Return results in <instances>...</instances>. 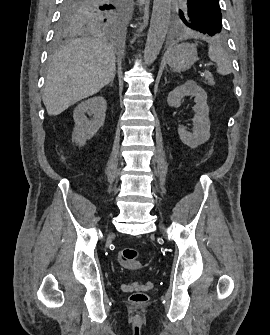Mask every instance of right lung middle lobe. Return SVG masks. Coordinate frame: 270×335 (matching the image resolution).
I'll list each match as a JSON object with an SVG mask.
<instances>
[{
	"instance_id": "1",
	"label": "right lung middle lobe",
	"mask_w": 270,
	"mask_h": 335,
	"mask_svg": "<svg viewBox=\"0 0 270 335\" xmlns=\"http://www.w3.org/2000/svg\"><path fill=\"white\" fill-rule=\"evenodd\" d=\"M56 27V42L74 32L93 29H117L124 23L125 0H62Z\"/></svg>"
}]
</instances>
